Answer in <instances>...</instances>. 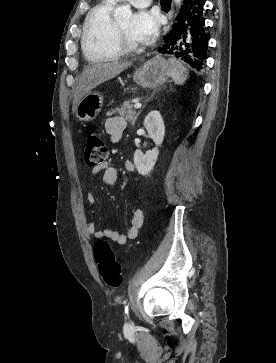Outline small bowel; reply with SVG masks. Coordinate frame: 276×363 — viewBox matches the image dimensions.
Listing matches in <instances>:
<instances>
[{
  "instance_id": "1",
  "label": "small bowel",
  "mask_w": 276,
  "mask_h": 363,
  "mask_svg": "<svg viewBox=\"0 0 276 363\" xmlns=\"http://www.w3.org/2000/svg\"><path fill=\"white\" fill-rule=\"evenodd\" d=\"M127 123L125 119L121 116H112L106 119L104 128L109 136L110 140L113 143H116L120 140L123 133L126 130ZM125 169L128 172H134L135 167L132 162L126 161L124 164ZM102 173V181L106 185L113 186L118 181V172L117 170L110 166L107 162H104L101 165L95 166L91 169L92 175H97ZM86 199L90 205L91 213L94 211L95 206V198L90 192H85ZM144 214L142 210V206L140 202H137L134 210L129 218V226L126 233H119L113 229H98L95 226V223L92 220L87 221L86 223V233L88 236L95 239H109L111 241L116 242L117 244L123 245L127 243L129 240H133L137 238L139 231L143 225Z\"/></svg>"
}]
</instances>
